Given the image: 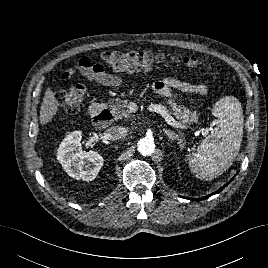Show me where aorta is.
<instances>
[{
	"mask_svg": "<svg viewBox=\"0 0 268 268\" xmlns=\"http://www.w3.org/2000/svg\"><path fill=\"white\" fill-rule=\"evenodd\" d=\"M137 148L143 156L151 155L155 150L154 141L150 138H141L137 143Z\"/></svg>",
	"mask_w": 268,
	"mask_h": 268,
	"instance_id": "obj_1",
	"label": "aorta"
}]
</instances>
